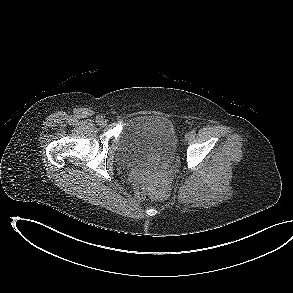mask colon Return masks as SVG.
<instances>
[{
    "mask_svg": "<svg viewBox=\"0 0 293 293\" xmlns=\"http://www.w3.org/2000/svg\"><path fill=\"white\" fill-rule=\"evenodd\" d=\"M151 191V185L148 179L139 176L134 180V192L137 198L143 199Z\"/></svg>",
    "mask_w": 293,
    "mask_h": 293,
    "instance_id": "obj_1",
    "label": "colon"
}]
</instances>
